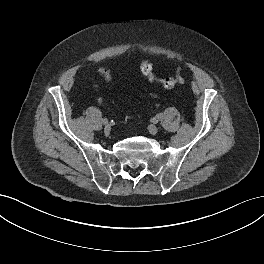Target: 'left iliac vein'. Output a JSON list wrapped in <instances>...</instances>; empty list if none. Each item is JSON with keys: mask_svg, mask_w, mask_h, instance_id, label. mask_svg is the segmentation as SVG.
<instances>
[{"mask_svg": "<svg viewBox=\"0 0 264 264\" xmlns=\"http://www.w3.org/2000/svg\"><path fill=\"white\" fill-rule=\"evenodd\" d=\"M148 130H149V132H150L152 135H155V134H157V132H158V128H157V126H155V125H150V126L148 127Z\"/></svg>", "mask_w": 264, "mask_h": 264, "instance_id": "4c4485c4", "label": "left iliac vein"}]
</instances>
